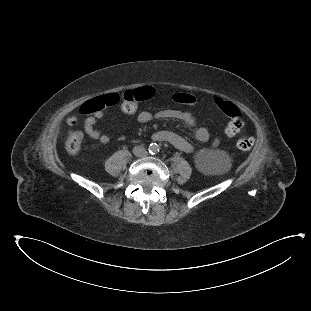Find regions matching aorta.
Segmentation results:
<instances>
[{"mask_svg": "<svg viewBox=\"0 0 311 311\" xmlns=\"http://www.w3.org/2000/svg\"><path fill=\"white\" fill-rule=\"evenodd\" d=\"M159 150H160V147H159V145L156 144V143H153V144H151V145L149 146V152H150L151 154H156V153L159 152Z\"/></svg>", "mask_w": 311, "mask_h": 311, "instance_id": "aorta-1", "label": "aorta"}]
</instances>
